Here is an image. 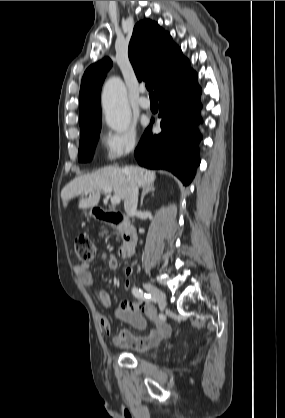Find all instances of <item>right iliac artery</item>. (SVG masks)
Segmentation results:
<instances>
[{
  "mask_svg": "<svg viewBox=\"0 0 285 418\" xmlns=\"http://www.w3.org/2000/svg\"><path fill=\"white\" fill-rule=\"evenodd\" d=\"M132 293L135 297H137L138 299H140L142 301L149 302V301L152 300L151 295L147 294L146 292H143L140 288L133 287L132 288Z\"/></svg>",
  "mask_w": 285,
  "mask_h": 418,
  "instance_id": "obj_1",
  "label": "right iliac artery"
}]
</instances>
